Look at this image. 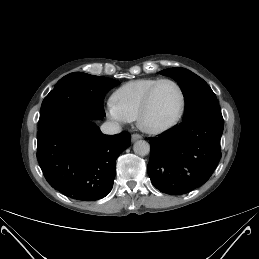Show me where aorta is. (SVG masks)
<instances>
[{
	"label": "aorta",
	"instance_id": "762f6f07",
	"mask_svg": "<svg viewBox=\"0 0 259 259\" xmlns=\"http://www.w3.org/2000/svg\"><path fill=\"white\" fill-rule=\"evenodd\" d=\"M133 150L137 155L145 156L150 152V145L145 140H138L134 143Z\"/></svg>",
	"mask_w": 259,
	"mask_h": 259
}]
</instances>
